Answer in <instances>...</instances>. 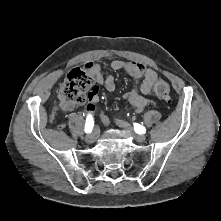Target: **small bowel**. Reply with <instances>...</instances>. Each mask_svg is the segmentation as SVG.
<instances>
[{"mask_svg": "<svg viewBox=\"0 0 221 221\" xmlns=\"http://www.w3.org/2000/svg\"><path fill=\"white\" fill-rule=\"evenodd\" d=\"M110 68L114 71L124 70L136 80L142 79L139 89H133L124 96L136 112H141L149 102L146 95L151 93L155 88V85L158 83L159 77L156 71L144 66L139 62L123 60L112 61L110 63ZM86 69L92 79L96 83L104 85L108 92H113L115 90L114 76H104L102 73V68L99 64L88 62L86 64ZM100 93L101 90L96 85H91L88 88L89 95L86 111L90 115L95 111V104L99 101ZM76 106V103L61 100L58 107L62 111H71Z\"/></svg>", "mask_w": 221, "mask_h": 221, "instance_id": "small-bowel-1", "label": "small bowel"}]
</instances>
